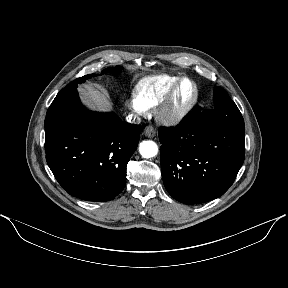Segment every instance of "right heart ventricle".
Segmentation results:
<instances>
[{
	"mask_svg": "<svg viewBox=\"0 0 288 288\" xmlns=\"http://www.w3.org/2000/svg\"><path fill=\"white\" fill-rule=\"evenodd\" d=\"M179 79L178 76L166 74L146 77L136 85V96L148 109L153 108L162 103Z\"/></svg>",
	"mask_w": 288,
	"mask_h": 288,
	"instance_id": "obj_1",
	"label": "right heart ventricle"
}]
</instances>
